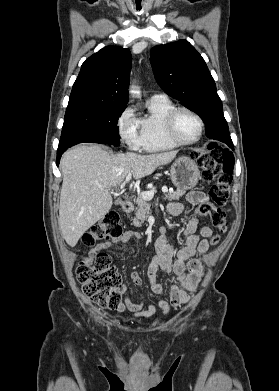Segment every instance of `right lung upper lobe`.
<instances>
[{
	"label": "right lung upper lobe",
	"instance_id": "cb5924a9",
	"mask_svg": "<svg viewBox=\"0 0 279 391\" xmlns=\"http://www.w3.org/2000/svg\"><path fill=\"white\" fill-rule=\"evenodd\" d=\"M132 57L129 49L108 46L90 56L74 82L67 110L88 106H125Z\"/></svg>",
	"mask_w": 279,
	"mask_h": 391
}]
</instances>
